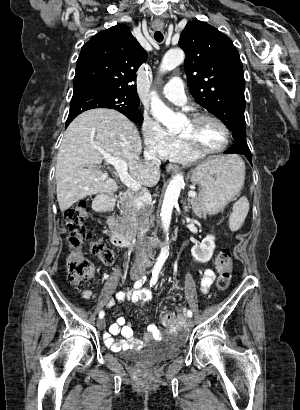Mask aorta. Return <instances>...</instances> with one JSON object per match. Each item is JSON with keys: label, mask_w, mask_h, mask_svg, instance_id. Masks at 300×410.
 <instances>
[{"label": "aorta", "mask_w": 300, "mask_h": 410, "mask_svg": "<svg viewBox=\"0 0 300 410\" xmlns=\"http://www.w3.org/2000/svg\"><path fill=\"white\" fill-rule=\"evenodd\" d=\"M185 54L184 52L179 49H171L169 50L160 65V72L164 73L168 70H171L173 67L181 64L184 61ZM151 109L153 116L161 122L165 127H167L170 131L177 132L182 127V118L176 115L171 109H169L157 96L155 92H152V102H151ZM184 185V178L181 173H176L173 178L170 180L167 189L165 191L162 207H161V221L163 229L166 233L167 240L168 232L171 222V216L174 206L178 202V198ZM169 255V247L165 246L162 248L157 261L154 265L155 271H160L168 258Z\"/></svg>", "instance_id": "1"}]
</instances>
